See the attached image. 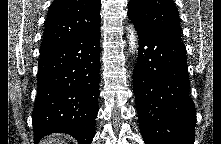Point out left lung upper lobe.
<instances>
[{
	"label": "left lung upper lobe",
	"mask_w": 221,
	"mask_h": 144,
	"mask_svg": "<svg viewBox=\"0 0 221 144\" xmlns=\"http://www.w3.org/2000/svg\"><path fill=\"white\" fill-rule=\"evenodd\" d=\"M128 17L142 32L181 40L179 13L173 0H130Z\"/></svg>",
	"instance_id": "5c2ea615"
}]
</instances>
